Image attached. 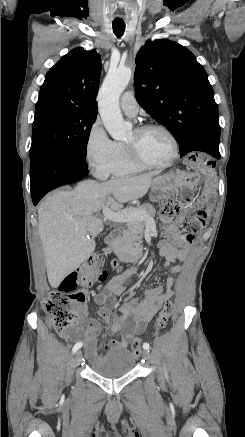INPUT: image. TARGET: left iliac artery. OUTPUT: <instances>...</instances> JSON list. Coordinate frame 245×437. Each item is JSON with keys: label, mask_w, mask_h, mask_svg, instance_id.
<instances>
[{"label": "left iliac artery", "mask_w": 245, "mask_h": 437, "mask_svg": "<svg viewBox=\"0 0 245 437\" xmlns=\"http://www.w3.org/2000/svg\"><path fill=\"white\" fill-rule=\"evenodd\" d=\"M143 348H144L145 350H149V349H150V345H149V343L145 342V343L143 344Z\"/></svg>", "instance_id": "obj_1"}]
</instances>
